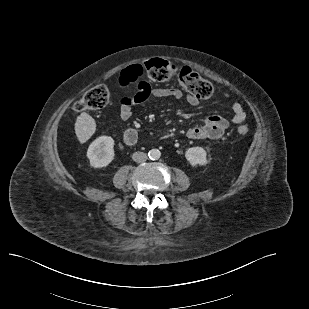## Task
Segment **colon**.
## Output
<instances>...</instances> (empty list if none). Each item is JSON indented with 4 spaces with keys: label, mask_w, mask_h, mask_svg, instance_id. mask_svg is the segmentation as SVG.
Returning a JSON list of instances; mask_svg holds the SVG:
<instances>
[{
    "label": "colon",
    "mask_w": 309,
    "mask_h": 309,
    "mask_svg": "<svg viewBox=\"0 0 309 309\" xmlns=\"http://www.w3.org/2000/svg\"><path fill=\"white\" fill-rule=\"evenodd\" d=\"M154 81H167L177 74L181 87L190 95L198 99H210L214 96V87L212 84L201 77L190 67L185 66L177 69L175 65L167 60L152 59L142 65H132L125 70V77L130 81H137L143 72ZM110 100V91L105 85H97L88 90L83 98L74 106L75 113L85 110H95L103 108ZM240 135H246L248 128L240 125L237 128Z\"/></svg>",
    "instance_id": "colon-1"
}]
</instances>
